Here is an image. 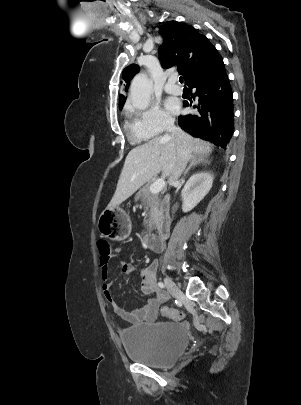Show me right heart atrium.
I'll list each match as a JSON object with an SVG mask.
<instances>
[{
	"instance_id": "right-heart-atrium-1",
	"label": "right heart atrium",
	"mask_w": 301,
	"mask_h": 405,
	"mask_svg": "<svg viewBox=\"0 0 301 405\" xmlns=\"http://www.w3.org/2000/svg\"><path fill=\"white\" fill-rule=\"evenodd\" d=\"M135 118L139 126L151 136L169 129L174 122L173 117L156 104L138 111Z\"/></svg>"
}]
</instances>
